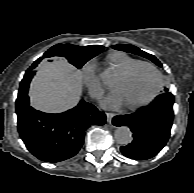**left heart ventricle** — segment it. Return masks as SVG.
<instances>
[{"label": "left heart ventricle", "instance_id": "1", "mask_svg": "<svg viewBox=\"0 0 194 193\" xmlns=\"http://www.w3.org/2000/svg\"><path fill=\"white\" fill-rule=\"evenodd\" d=\"M156 85L157 76L154 70L142 66L125 80L119 76L113 86L120 93L124 104H138L151 96Z\"/></svg>", "mask_w": 194, "mask_h": 193}]
</instances>
